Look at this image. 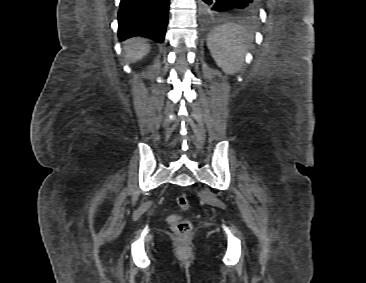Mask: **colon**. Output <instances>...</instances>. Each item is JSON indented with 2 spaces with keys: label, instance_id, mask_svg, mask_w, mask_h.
<instances>
[{
  "label": "colon",
  "instance_id": "1",
  "mask_svg": "<svg viewBox=\"0 0 366 283\" xmlns=\"http://www.w3.org/2000/svg\"><path fill=\"white\" fill-rule=\"evenodd\" d=\"M176 201L182 210H187L190 206L188 196L184 193L179 194ZM173 229L178 235L185 236L191 231V224L186 220L178 221L173 224Z\"/></svg>",
  "mask_w": 366,
  "mask_h": 283
}]
</instances>
